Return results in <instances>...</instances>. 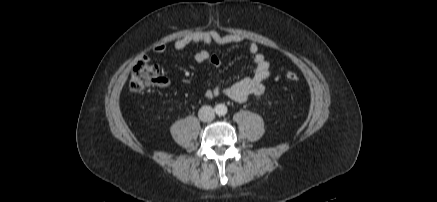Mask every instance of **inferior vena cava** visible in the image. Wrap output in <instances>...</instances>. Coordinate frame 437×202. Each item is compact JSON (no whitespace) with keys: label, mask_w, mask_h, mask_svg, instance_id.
<instances>
[{"label":"inferior vena cava","mask_w":437,"mask_h":202,"mask_svg":"<svg viewBox=\"0 0 437 202\" xmlns=\"http://www.w3.org/2000/svg\"><path fill=\"white\" fill-rule=\"evenodd\" d=\"M198 116L201 121L210 122L215 118V112L211 106H202L199 109Z\"/></svg>","instance_id":"obj_1"}]
</instances>
